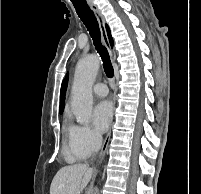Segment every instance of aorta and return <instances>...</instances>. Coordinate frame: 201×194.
<instances>
[{"label":"aorta","instance_id":"1","mask_svg":"<svg viewBox=\"0 0 201 194\" xmlns=\"http://www.w3.org/2000/svg\"><path fill=\"white\" fill-rule=\"evenodd\" d=\"M100 67V59L93 54L77 63L72 84L71 111L77 122L87 124L91 119L93 100L92 86ZM93 194H99L95 187Z\"/></svg>","mask_w":201,"mask_h":194}]
</instances>
